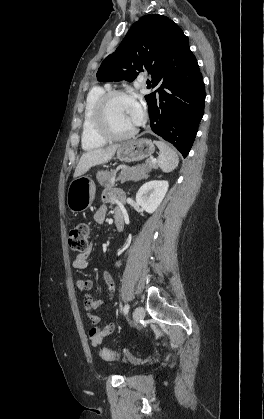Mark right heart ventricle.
Instances as JSON below:
<instances>
[{
  "mask_svg": "<svg viewBox=\"0 0 264 419\" xmlns=\"http://www.w3.org/2000/svg\"><path fill=\"white\" fill-rule=\"evenodd\" d=\"M107 91L108 87L97 86L92 88L87 95L81 133V145L84 150L89 151L99 148L106 142L94 129L93 114L97 101Z\"/></svg>",
  "mask_w": 264,
  "mask_h": 419,
  "instance_id": "1",
  "label": "right heart ventricle"
}]
</instances>
